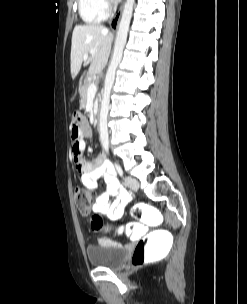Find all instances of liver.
<instances>
[{
	"label": "liver",
	"instance_id": "1",
	"mask_svg": "<svg viewBox=\"0 0 247 304\" xmlns=\"http://www.w3.org/2000/svg\"><path fill=\"white\" fill-rule=\"evenodd\" d=\"M113 34L96 24L77 25L72 33L71 75L74 79L79 73L82 63H90L89 75L99 74L106 66L111 51ZM84 54H89L87 60Z\"/></svg>",
	"mask_w": 247,
	"mask_h": 304
}]
</instances>
